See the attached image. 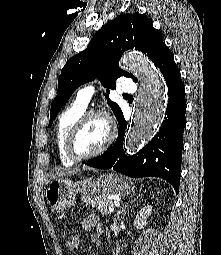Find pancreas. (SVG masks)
<instances>
[{
    "label": "pancreas",
    "instance_id": "cf45deb5",
    "mask_svg": "<svg viewBox=\"0 0 221 255\" xmlns=\"http://www.w3.org/2000/svg\"><path fill=\"white\" fill-rule=\"evenodd\" d=\"M87 204L91 205L92 208L104 215L111 214L109 209L114 206L113 199L108 194L94 196L87 201Z\"/></svg>",
    "mask_w": 221,
    "mask_h": 255
}]
</instances>
